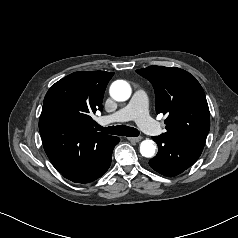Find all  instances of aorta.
Listing matches in <instances>:
<instances>
[{
  "label": "aorta",
  "instance_id": "obj_1",
  "mask_svg": "<svg viewBox=\"0 0 238 238\" xmlns=\"http://www.w3.org/2000/svg\"><path fill=\"white\" fill-rule=\"evenodd\" d=\"M110 95L116 101H126L131 96V87L124 80H116L110 86ZM140 153L146 158H152L156 153L155 143L149 139L142 141Z\"/></svg>",
  "mask_w": 238,
  "mask_h": 238
}]
</instances>
